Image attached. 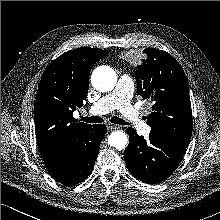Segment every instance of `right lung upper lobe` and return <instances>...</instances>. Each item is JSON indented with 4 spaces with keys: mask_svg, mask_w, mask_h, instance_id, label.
<instances>
[{
    "mask_svg": "<svg viewBox=\"0 0 220 220\" xmlns=\"http://www.w3.org/2000/svg\"><path fill=\"white\" fill-rule=\"evenodd\" d=\"M108 54L89 47L70 50L52 61L42 75L34 119L38 148L46 165L92 126L75 119L73 111L86 99L92 66Z\"/></svg>",
    "mask_w": 220,
    "mask_h": 220,
    "instance_id": "right-lung-upper-lobe-1",
    "label": "right lung upper lobe"
}]
</instances>
